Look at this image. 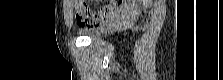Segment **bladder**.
Returning a JSON list of instances; mask_svg holds the SVG:
<instances>
[{"label":"bladder","mask_w":223,"mask_h":80,"mask_svg":"<svg viewBox=\"0 0 223 80\" xmlns=\"http://www.w3.org/2000/svg\"><path fill=\"white\" fill-rule=\"evenodd\" d=\"M107 28V25L100 24L96 26H91L88 28H81L78 30V33L84 36H88L90 38H95L102 35Z\"/></svg>","instance_id":"bladder-1"}]
</instances>
